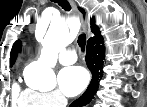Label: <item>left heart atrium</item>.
I'll return each mask as SVG.
<instances>
[{
	"label": "left heart atrium",
	"mask_w": 147,
	"mask_h": 107,
	"mask_svg": "<svg viewBox=\"0 0 147 107\" xmlns=\"http://www.w3.org/2000/svg\"><path fill=\"white\" fill-rule=\"evenodd\" d=\"M88 74L80 66L64 68L58 76V84L61 92L68 96H76L86 87Z\"/></svg>",
	"instance_id": "left-heart-atrium-1"
}]
</instances>
